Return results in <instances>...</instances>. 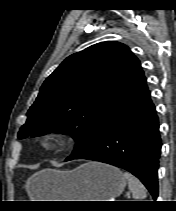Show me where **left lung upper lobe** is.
<instances>
[{
    "instance_id": "5c2ea615",
    "label": "left lung upper lobe",
    "mask_w": 176,
    "mask_h": 211,
    "mask_svg": "<svg viewBox=\"0 0 176 211\" xmlns=\"http://www.w3.org/2000/svg\"><path fill=\"white\" fill-rule=\"evenodd\" d=\"M148 89L139 60L119 42H101L66 58L45 80L18 138L70 134L85 150L105 120Z\"/></svg>"
}]
</instances>
